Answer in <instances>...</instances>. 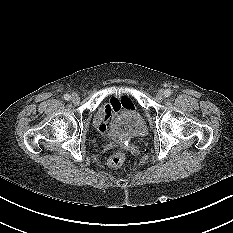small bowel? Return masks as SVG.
<instances>
[{"label":"small bowel","mask_w":233,"mask_h":233,"mask_svg":"<svg viewBox=\"0 0 233 233\" xmlns=\"http://www.w3.org/2000/svg\"><path fill=\"white\" fill-rule=\"evenodd\" d=\"M133 108V102L129 97L125 95H113L97 110L94 118V124L101 133H104L107 130L109 120H114L121 109L131 110Z\"/></svg>","instance_id":"small-bowel-1"}]
</instances>
